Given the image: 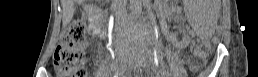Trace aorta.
<instances>
[{
	"label": "aorta",
	"mask_w": 258,
	"mask_h": 77,
	"mask_svg": "<svg viewBox=\"0 0 258 77\" xmlns=\"http://www.w3.org/2000/svg\"><path fill=\"white\" fill-rule=\"evenodd\" d=\"M130 9L135 17H139L142 12V0H130Z\"/></svg>",
	"instance_id": "aorta-1"
}]
</instances>
